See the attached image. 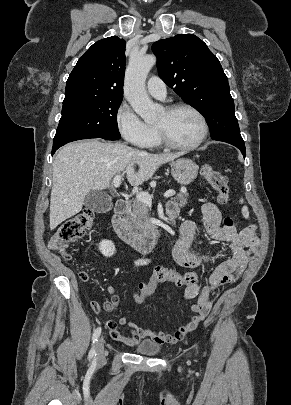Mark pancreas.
Segmentation results:
<instances>
[{
	"label": "pancreas",
	"mask_w": 291,
	"mask_h": 405,
	"mask_svg": "<svg viewBox=\"0 0 291 405\" xmlns=\"http://www.w3.org/2000/svg\"><path fill=\"white\" fill-rule=\"evenodd\" d=\"M188 197L187 192L181 191L173 200L182 208L186 206ZM129 219L132 224V229L139 235H147L154 229V225L150 222L148 205L139 200L133 201L132 212L130 213Z\"/></svg>",
	"instance_id": "cf45deb5"
}]
</instances>
